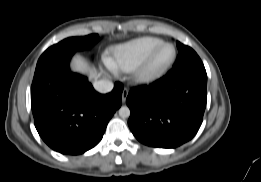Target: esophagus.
<instances>
[{"instance_id":"obj_1","label":"esophagus","mask_w":261,"mask_h":182,"mask_svg":"<svg viewBox=\"0 0 261 182\" xmlns=\"http://www.w3.org/2000/svg\"><path fill=\"white\" fill-rule=\"evenodd\" d=\"M128 93H129L128 89H127V88H124V89H123V92H122V103H125L126 98H127V96H128Z\"/></svg>"}]
</instances>
